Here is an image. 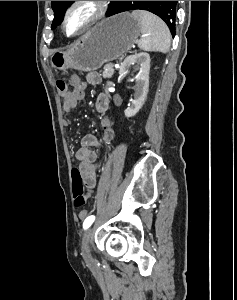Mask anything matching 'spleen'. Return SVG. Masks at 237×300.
I'll list each match as a JSON object with an SVG mask.
<instances>
[{
	"label": "spleen",
	"instance_id": "obj_1",
	"mask_svg": "<svg viewBox=\"0 0 237 300\" xmlns=\"http://www.w3.org/2000/svg\"><path fill=\"white\" fill-rule=\"evenodd\" d=\"M132 17L141 25V39L138 41L142 51L168 53L171 45L170 31L162 19L148 11H133Z\"/></svg>",
	"mask_w": 237,
	"mask_h": 300
}]
</instances>
